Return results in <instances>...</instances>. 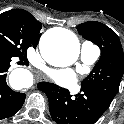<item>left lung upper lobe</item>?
<instances>
[{"instance_id":"left-lung-upper-lobe-1","label":"left lung upper lobe","mask_w":124,"mask_h":124,"mask_svg":"<svg viewBox=\"0 0 124 124\" xmlns=\"http://www.w3.org/2000/svg\"><path fill=\"white\" fill-rule=\"evenodd\" d=\"M79 34L101 49L99 61L81 82V90L96 95L108 105L119 90L124 73V54L118 36L106 25L89 21L77 27Z\"/></svg>"}]
</instances>
